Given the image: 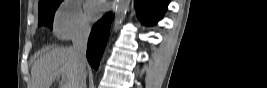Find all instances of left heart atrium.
Masks as SVG:
<instances>
[{
    "label": "left heart atrium",
    "mask_w": 267,
    "mask_h": 88,
    "mask_svg": "<svg viewBox=\"0 0 267 88\" xmlns=\"http://www.w3.org/2000/svg\"><path fill=\"white\" fill-rule=\"evenodd\" d=\"M85 11L90 19L95 20L101 15L103 5L99 1H88L85 6Z\"/></svg>",
    "instance_id": "left-heart-atrium-1"
}]
</instances>
